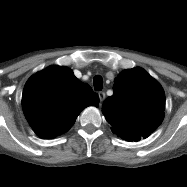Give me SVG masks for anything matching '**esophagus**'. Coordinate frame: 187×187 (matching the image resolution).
<instances>
[{"label": "esophagus", "instance_id": "obj_1", "mask_svg": "<svg viewBox=\"0 0 187 187\" xmlns=\"http://www.w3.org/2000/svg\"><path fill=\"white\" fill-rule=\"evenodd\" d=\"M98 96H99L100 102L102 103L104 101L105 97H106L105 92L100 91L98 93Z\"/></svg>", "mask_w": 187, "mask_h": 187}]
</instances>
